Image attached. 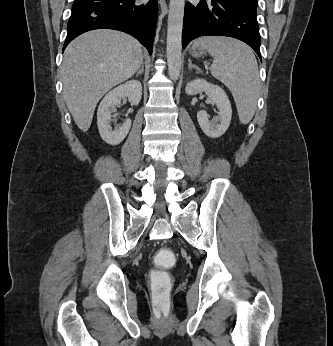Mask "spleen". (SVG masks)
Returning a JSON list of instances; mask_svg holds the SVG:
<instances>
[{"label":"spleen","instance_id":"1","mask_svg":"<svg viewBox=\"0 0 333 346\" xmlns=\"http://www.w3.org/2000/svg\"><path fill=\"white\" fill-rule=\"evenodd\" d=\"M193 46L208 50L213 57L211 74L231 91L241 123H249L255 114L260 90L253 51L238 40L219 36L201 37Z\"/></svg>","mask_w":333,"mask_h":346}]
</instances>
